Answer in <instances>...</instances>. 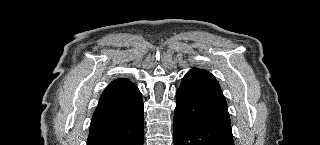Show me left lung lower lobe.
Listing matches in <instances>:
<instances>
[{"label": "left lung lower lobe", "instance_id": "obj_1", "mask_svg": "<svg viewBox=\"0 0 320 145\" xmlns=\"http://www.w3.org/2000/svg\"><path fill=\"white\" fill-rule=\"evenodd\" d=\"M174 145H234L227 102L206 70L191 69L177 90Z\"/></svg>", "mask_w": 320, "mask_h": 145}]
</instances>
